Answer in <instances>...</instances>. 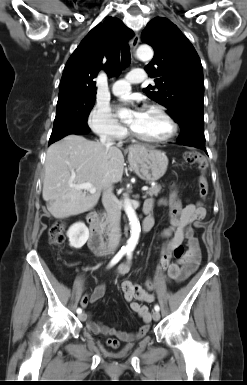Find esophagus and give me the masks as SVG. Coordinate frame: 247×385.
Here are the masks:
<instances>
[{"label":"esophagus","instance_id":"34e87169","mask_svg":"<svg viewBox=\"0 0 247 385\" xmlns=\"http://www.w3.org/2000/svg\"><path fill=\"white\" fill-rule=\"evenodd\" d=\"M139 41H140V36H139L138 33H136L134 35L133 39L131 40V49H132L134 60H136L135 51H136V48H137V46L139 44Z\"/></svg>","mask_w":247,"mask_h":385}]
</instances>
